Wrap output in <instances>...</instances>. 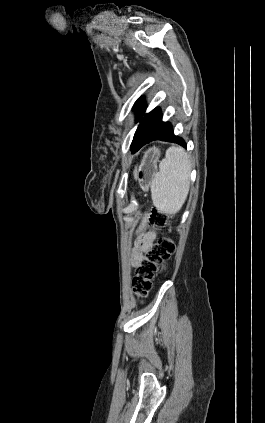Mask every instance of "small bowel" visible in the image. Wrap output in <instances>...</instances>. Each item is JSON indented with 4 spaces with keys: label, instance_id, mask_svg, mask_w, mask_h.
<instances>
[{
    "label": "small bowel",
    "instance_id": "small-bowel-1",
    "mask_svg": "<svg viewBox=\"0 0 265 423\" xmlns=\"http://www.w3.org/2000/svg\"><path fill=\"white\" fill-rule=\"evenodd\" d=\"M157 237V233L155 231H148L141 234L137 240L135 247L132 251L130 256V266L135 268L138 263L140 262L141 258L144 255L145 250L154 242Z\"/></svg>",
    "mask_w": 265,
    "mask_h": 423
}]
</instances>
